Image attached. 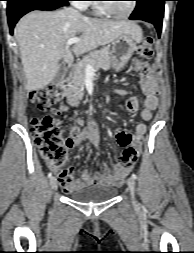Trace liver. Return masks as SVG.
<instances>
[{
	"instance_id": "6515ba94",
	"label": "liver",
	"mask_w": 194,
	"mask_h": 253,
	"mask_svg": "<svg viewBox=\"0 0 194 253\" xmlns=\"http://www.w3.org/2000/svg\"><path fill=\"white\" fill-rule=\"evenodd\" d=\"M126 33L136 39L142 36L141 28L134 22L91 19L69 8L28 13L14 30L27 92L51 83L60 68V59L71 66L73 53L88 52ZM78 35L80 41L72 48L66 45L70 38Z\"/></svg>"
}]
</instances>
